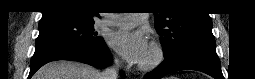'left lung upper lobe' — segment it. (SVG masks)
<instances>
[{"label":"left lung upper lobe","instance_id":"obj_1","mask_svg":"<svg viewBox=\"0 0 255 79\" xmlns=\"http://www.w3.org/2000/svg\"><path fill=\"white\" fill-rule=\"evenodd\" d=\"M158 4L154 25L161 36L165 58L175 55L186 45L195 41H215L212 21L207 13L181 12L165 7L171 1H155ZM159 2V3H158Z\"/></svg>","mask_w":255,"mask_h":79}]
</instances>
